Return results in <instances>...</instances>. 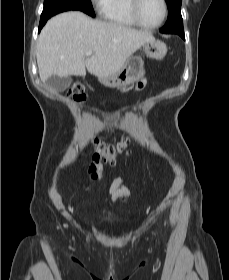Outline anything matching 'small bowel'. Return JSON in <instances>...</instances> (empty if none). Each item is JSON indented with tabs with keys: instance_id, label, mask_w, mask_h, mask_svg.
<instances>
[{
	"instance_id": "small-bowel-1",
	"label": "small bowel",
	"mask_w": 229,
	"mask_h": 280,
	"mask_svg": "<svg viewBox=\"0 0 229 280\" xmlns=\"http://www.w3.org/2000/svg\"><path fill=\"white\" fill-rule=\"evenodd\" d=\"M144 83H145L144 81L138 83L135 86V90H140L143 87ZM109 193L114 199H116L127 195L129 193V190L125 186L124 180L122 178H117L114 180L113 184L111 185L109 189Z\"/></svg>"
}]
</instances>
